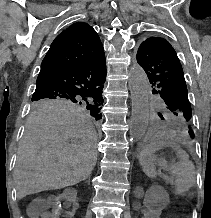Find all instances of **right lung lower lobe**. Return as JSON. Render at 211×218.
Here are the masks:
<instances>
[{"instance_id":"1","label":"right lung lower lobe","mask_w":211,"mask_h":218,"mask_svg":"<svg viewBox=\"0 0 211 218\" xmlns=\"http://www.w3.org/2000/svg\"><path fill=\"white\" fill-rule=\"evenodd\" d=\"M106 79L105 56L51 74L36 84L32 98H98Z\"/></svg>"}]
</instances>
